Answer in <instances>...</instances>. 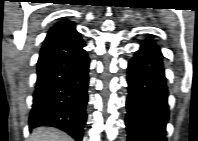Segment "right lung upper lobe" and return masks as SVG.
<instances>
[{"label": "right lung upper lobe", "mask_w": 198, "mask_h": 141, "mask_svg": "<svg viewBox=\"0 0 198 141\" xmlns=\"http://www.w3.org/2000/svg\"><path fill=\"white\" fill-rule=\"evenodd\" d=\"M74 32H76V30L73 23L67 21L58 22L49 30L43 45L59 40Z\"/></svg>", "instance_id": "obj_1"}]
</instances>
